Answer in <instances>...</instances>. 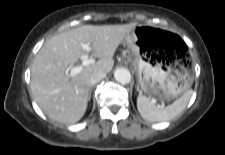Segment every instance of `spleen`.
Returning a JSON list of instances; mask_svg holds the SVG:
<instances>
[{"label": "spleen", "instance_id": "1", "mask_svg": "<svg viewBox=\"0 0 225 155\" xmlns=\"http://www.w3.org/2000/svg\"><path fill=\"white\" fill-rule=\"evenodd\" d=\"M193 91L187 90L179 99L171 105L163 108L156 106L155 101L150 97L139 95L137 98V109L140 115L150 122L169 121L179 115L187 106Z\"/></svg>", "mask_w": 225, "mask_h": 155}]
</instances>
